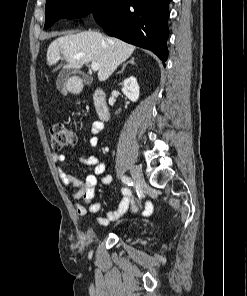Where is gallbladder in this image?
<instances>
[{"label": "gallbladder", "instance_id": "gallbladder-1", "mask_svg": "<svg viewBox=\"0 0 247 296\" xmlns=\"http://www.w3.org/2000/svg\"><path fill=\"white\" fill-rule=\"evenodd\" d=\"M70 74H71L70 70L65 69L58 76L57 88H58V90L60 91V93L62 95H67L68 92H69L68 84H69V81H70ZM82 80H83L84 84L89 85V84L92 83L93 79L91 77H89V76L84 75L82 77Z\"/></svg>", "mask_w": 247, "mask_h": 296}]
</instances>
